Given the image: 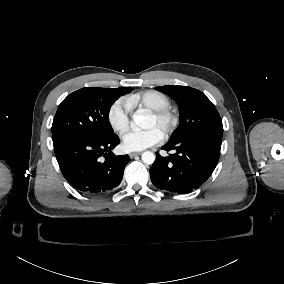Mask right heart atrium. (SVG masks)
<instances>
[{
	"instance_id": "1",
	"label": "right heart atrium",
	"mask_w": 284,
	"mask_h": 284,
	"mask_svg": "<svg viewBox=\"0 0 284 284\" xmlns=\"http://www.w3.org/2000/svg\"><path fill=\"white\" fill-rule=\"evenodd\" d=\"M132 106V99L129 97L118 98L110 105L107 121L114 132L121 133L129 126Z\"/></svg>"
}]
</instances>
